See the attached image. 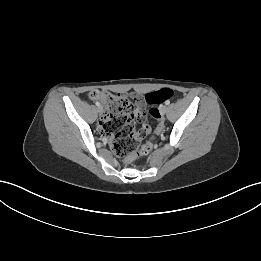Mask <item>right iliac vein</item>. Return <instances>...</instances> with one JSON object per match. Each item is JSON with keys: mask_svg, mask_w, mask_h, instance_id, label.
I'll return each instance as SVG.
<instances>
[{"mask_svg": "<svg viewBox=\"0 0 261 261\" xmlns=\"http://www.w3.org/2000/svg\"><path fill=\"white\" fill-rule=\"evenodd\" d=\"M98 111H99V113H102V112H103V107H102V106H99V107H98Z\"/></svg>", "mask_w": 261, "mask_h": 261, "instance_id": "right-iliac-vein-1", "label": "right iliac vein"}]
</instances>
